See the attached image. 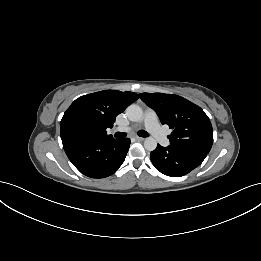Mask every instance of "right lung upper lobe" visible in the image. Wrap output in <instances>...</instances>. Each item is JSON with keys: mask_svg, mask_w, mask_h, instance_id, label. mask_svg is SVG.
Returning a JSON list of instances; mask_svg holds the SVG:
<instances>
[{"mask_svg": "<svg viewBox=\"0 0 261 261\" xmlns=\"http://www.w3.org/2000/svg\"><path fill=\"white\" fill-rule=\"evenodd\" d=\"M138 98L134 92L118 90H104L81 96L64 113L60 124L61 133L68 124L83 121L90 126L92 138H110L112 136L107 135L106 129L111 128L116 116Z\"/></svg>", "mask_w": 261, "mask_h": 261, "instance_id": "1", "label": "right lung upper lobe"}]
</instances>
